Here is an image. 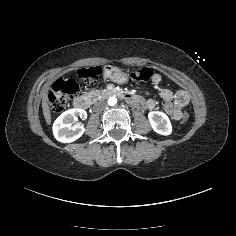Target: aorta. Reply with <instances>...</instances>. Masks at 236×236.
I'll return each instance as SVG.
<instances>
[{
    "label": "aorta",
    "mask_w": 236,
    "mask_h": 236,
    "mask_svg": "<svg viewBox=\"0 0 236 236\" xmlns=\"http://www.w3.org/2000/svg\"><path fill=\"white\" fill-rule=\"evenodd\" d=\"M117 103V98L116 97H110L108 99V105L114 106Z\"/></svg>",
    "instance_id": "aorta-1"
}]
</instances>
